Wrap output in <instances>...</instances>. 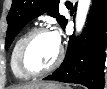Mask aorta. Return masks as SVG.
I'll use <instances>...</instances> for the list:
<instances>
[{
  "label": "aorta",
  "instance_id": "aorta-1",
  "mask_svg": "<svg viewBox=\"0 0 107 89\" xmlns=\"http://www.w3.org/2000/svg\"><path fill=\"white\" fill-rule=\"evenodd\" d=\"M91 0H79L76 13V32L80 33L86 22Z\"/></svg>",
  "mask_w": 107,
  "mask_h": 89
}]
</instances>
